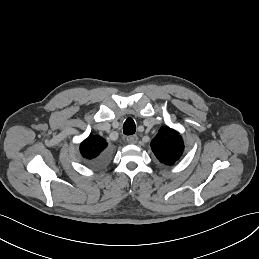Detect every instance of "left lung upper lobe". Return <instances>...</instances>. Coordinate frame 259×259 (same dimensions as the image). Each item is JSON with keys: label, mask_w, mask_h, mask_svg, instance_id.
Listing matches in <instances>:
<instances>
[{"label": "left lung upper lobe", "mask_w": 259, "mask_h": 259, "mask_svg": "<svg viewBox=\"0 0 259 259\" xmlns=\"http://www.w3.org/2000/svg\"><path fill=\"white\" fill-rule=\"evenodd\" d=\"M150 145L157 159L165 165H173L184 150L182 137L168 126L160 128Z\"/></svg>", "instance_id": "obj_1"}]
</instances>
